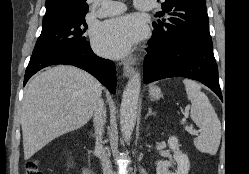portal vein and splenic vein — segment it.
<instances>
[{
  "label": "portal vein and splenic vein",
  "instance_id": "obj_1",
  "mask_svg": "<svg viewBox=\"0 0 249 174\" xmlns=\"http://www.w3.org/2000/svg\"><path fill=\"white\" fill-rule=\"evenodd\" d=\"M187 117H188V115L186 114V115H185V118L183 119V121H185ZM185 129H186L190 134H192V135H197V134H198V132L195 131V130H193V128H192L191 126H185Z\"/></svg>",
  "mask_w": 249,
  "mask_h": 174
}]
</instances>
